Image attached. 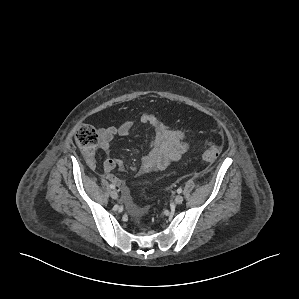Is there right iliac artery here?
<instances>
[{
	"label": "right iliac artery",
	"instance_id": "right-iliac-artery-1",
	"mask_svg": "<svg viewBox=\"0 0 299 299\" xmlns=\"http://www.w3.org/2000/svg\"><path fill=\"white\" fill-rule=\"evenodd\" d=\"M110 188L111 189H115V185L114 184H110Z\"/></svg>",
	"mask_w": 299,
	"mask_h": 299
}]
</instances>
